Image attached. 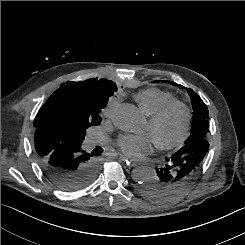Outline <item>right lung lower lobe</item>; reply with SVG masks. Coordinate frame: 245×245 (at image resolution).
Here are the masks:
<instances>
[{"label":"right lung lower lobe","instance_id":"obj_1","mask_svg":"<svg viewBox=\"0 0 245 245\" xmlns=\"http://www.w3.org/2000/svg\"><path fill=\"white\" fill-rule=\"evenodd\" d=\"M75 140L58 142L42 137L35 142L38 164L47 179L66 192L90 185L99 172V162Z\"/></svg>","mask_w":245,"mask_h":245}]
</instances>
